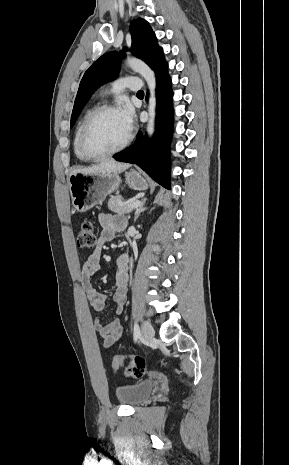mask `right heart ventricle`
I'll use <instances>...</instances> for the list:
<instances>
[{
	"instance_id": "1",
	"label": "right heart ventricle",
	"mask_w": 289,
	"mask_h": 465,
	"mask_svg": "<svg viewBox=\"0 0 289 465\" xmlns=\"http://www.w3.org/2000/svg\"><path fill=\"white\" fill-rule=\"evenodd\" d=\"M93 111V107H89L87 108L83 114L81 115V117L79 118V121L76 125V128H75V132H74V136H73V149H74V153L77 157V159L81 162H87L88 159H86L81 151H80V135H81V130H82V127H83V124L86 120V118L88 117V115Z\"/></svg>"
}]
</instances>
